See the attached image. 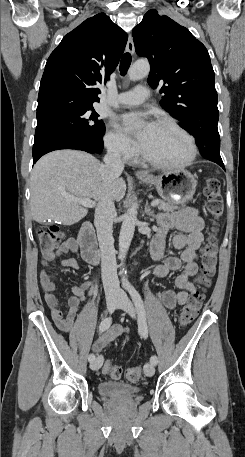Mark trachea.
Returning a JSON list of instances; mask_svg holds the SVG:
<instances>
[{
	"label": "trachea",
	"mask_w": 245,
	"mask_h": 457,
	"mask_svg": "<svg viewBox=\"0 0 245 457\" xmlns=\"http://www.w3.org/2000/svg\"><path fill=\"white\" fill-rule=\"evenodd\" d=\"M131 60H132V57L130 55V53H125L122 58H121V62H120V67H119V70H120V73L121 75H125L130 67V64H131Z\"/></svg>",
	"instance_id": "obj_1"
}]
</instances>
